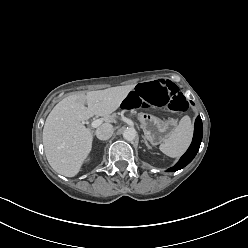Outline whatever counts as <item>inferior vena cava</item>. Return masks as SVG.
<instances>
[{"mask_svg": "<svg viewBox=\"0 0 248 248\" xmlns=\"http://www.w3.org/2000/svg\"><path fill=\"white\" fill-rule=\"evenodd\" d=\"M113 126L111 124H103L96 130V136L100 140H108L113 134Z\"/></svg>", "mask_w": 248, "mask_h": 248, "instance_id": "602c4592", "label": "inferior vena cava"}]
</instances>
